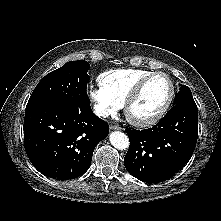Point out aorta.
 Listing matches in <instances>:
<instances>
[{
    "instance_id": "aorta-1",
    "label": "aorta",
    "mask_w": 221,
    "mask_h": 221,
    "mask_svg": "<svg viewBox=\"0 0 221 221\" xmlns=\"http://www.w3.org/2000/svg\"><path fill=\"white\" fill-rule=\"evenodd\" d=\"M110 143L118 150H125L129 147V138L120 131H114L109 136Z\"/></svg>"
}]
</instances>
